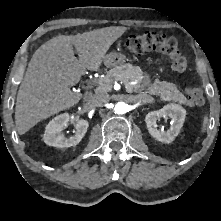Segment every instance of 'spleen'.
Segmentation results:
<instances>
[{
	"label": "spleen",
	"instance_id": "3e777b00",
	"mask_svg": "<svg viewBox=\"0 0 221 221\" xmlns=\"http://www.w3.org/2000/svg\"><path fill=\"white\" fill-rule=\"evenodd\" d=\"M207 123H208V117L207 115H205L202 122V132H205Z\"/></svg>",
	"mask_w": 221,
	"mask_h": 221
}]
</instances>
